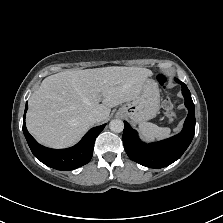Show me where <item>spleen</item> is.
Listing matches in <instances>:
<instances>
[{"label":"spleen","mask_w":223,"mask_h":223,"mask_svg":"<svg viewBox=\"0 0 223 223\" xmlns=\"http://www.w3.org/2000/svg\"><path fill=\"white\" fill-rule=\"evenodd\" d=\"M139 129L146 141L156 139H163L170 136V128L159 127L156 124L149 122H142L139 124ZM176 131L178 128L175 129Z\"/></svg>","instance_id":"obj_1"}]
</instances>
